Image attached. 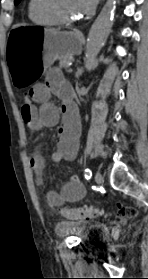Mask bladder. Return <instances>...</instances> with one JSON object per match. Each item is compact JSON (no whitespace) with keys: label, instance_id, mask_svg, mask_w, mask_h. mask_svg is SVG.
<instances>
[{"label":"bladder","instance_id":"obj_1","mask_svg":"<svg viewBox=\"0 0 148 279\" xmlns=\"http://www.w3.org/2000/svg\"><path fill=\"white\" fill-rule=\"evenodd\" d=\"M56 230L60 237L76 236L86 241L103 240L109 234L105 224L85 220L60 221L57 223Z\"/></svg>","mask_w":148,"mask_h":279}]
</instances>
